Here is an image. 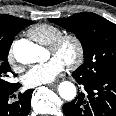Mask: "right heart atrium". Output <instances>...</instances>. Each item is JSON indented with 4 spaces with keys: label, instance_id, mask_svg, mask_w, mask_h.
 Instances as JSON below:
<instances>
[{
    "label": "right heart atrium",
    "instance_id": "d8ad5b80",
    "mask_svg": "<svg viewBox=\"0 0 116 116\" xmlns=\"http://www.w3.org/2000/svg\"><path fill=\"white\" fill-rule=\"evenodd\" d=\"M6 60L12 68L17 69V65H16L17 61L15 58L12 46L7 51Z\"/></svg>",
    "mask_w": 116,
    "mask_h": 116
}]
</instances>
